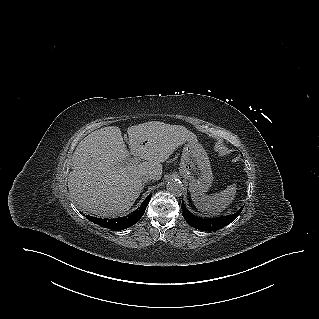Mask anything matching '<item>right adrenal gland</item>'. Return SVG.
<instances>
[{"mask_svg":"<svg viewBox=\"0 0 319 319\" xmlns=\"http://www.w3.org/2000/svg\"><path fill=\"white\" fill-rule=\"evenodd\" d=\"M145 183H146V182H144V183H143V186H142V190H141V192H143V188H144V186H145Z\"/></svg>","mask_w":319,"mask_h":319,"instance_id":"obj_1","label":"right adrenal gland"}]
</instances>
